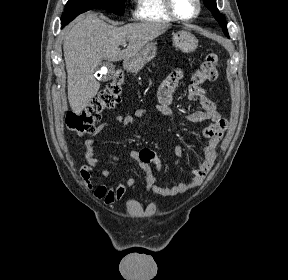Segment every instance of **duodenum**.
<instances>
[{"mask_svg": "<svg viewBox=\"0 0 288 280\" xmlns=\"http://www.w3.org/2000/svg\"><path fill=\"white\" fill-rule=\"evenodd\" d=\"M125 68H126L127 70H130V65H129V63H125Z\"/></svg>", "mask_w": 288, "mask_h": 280, "instance_id": "duodenum-1", "label": "duodenum"}]
</instances>
